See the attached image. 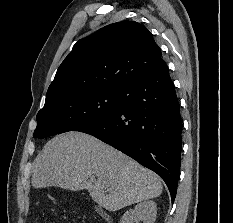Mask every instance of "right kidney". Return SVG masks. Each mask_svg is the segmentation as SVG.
I'll return each mask as SVG.
<instances>
[{"label":"right kidney","mask_w":233,"mask_h":223,"mask_svg":"<svg viewBox=\"0 0 233 223\" xmlns=\"http://www.w3.org/2000/svg\"><path fill=\"white\" fill-rule=\"evenodd\" d=\"M157 213V203L153 199H146L137 203L134 209H127L120 219V223H135V221H143V223H154Z\"/></svg>","instance_id":"right-kidney-1"}]
</instances>
